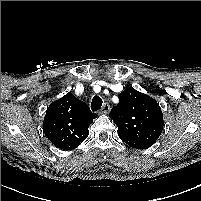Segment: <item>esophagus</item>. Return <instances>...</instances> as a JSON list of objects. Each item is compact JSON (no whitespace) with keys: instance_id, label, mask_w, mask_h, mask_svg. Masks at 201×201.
I'll return each mask as SVG.
<instances>
[{"instance_id":"obj_1","label":"esophagus","mask_w":201,"mask_h":201,"mask_svg":"<svg viewBox=\"0 0 201 201\" xmlns=\"http://www.w3.org/2000/svg\"><path fill=\"white\" fill-rule=\"evenodd\" d=\"M109 111H110V105H109L108 103H105V104L102 106V108H101V110H100V113L107 114V113H109Z\"/></svg>"}]
</instances>
